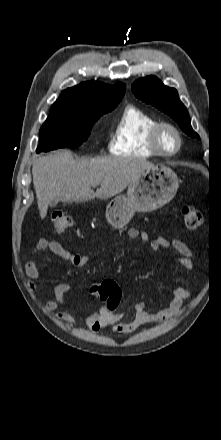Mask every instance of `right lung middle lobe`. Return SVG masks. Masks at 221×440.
<instances>
[{"label": "right lung middle lobe", "instance_id": "1", "mask_svg": "<svg viewBox=\"0 0 221 440\" xmlns=\"http://www.w3.org/2000/svg\"><path fill=\"white\" fill-rule=\"evenodd\" d=\"M115 106L70 108L52 106L50 114L40 129V145L36 152L57 148L77 147L86 141L93 124Z\"/></svg>", "mask_w": 221, "mask_h": 440}]
</instances>
